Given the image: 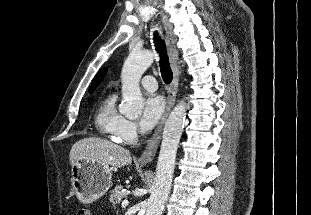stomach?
I'll list each match as a JSON object with an SVG mask.
<instances>
[{"mask_svg": "<svg viewBox=\"0 0 311 215\" xmlns=\"http://www.w3.org/2000/svg\"><path fill=\"white\" fill-rule=\"evenodd\" d=\"M111 169L107 164L78 160L71 167V181L80 202L89 204L106 194L111 186Z\"/></svg>", "mask_w": 311, "mask_h": 215, "instance_id": "stomach-1", "label": "stomach"}]
</instances>
